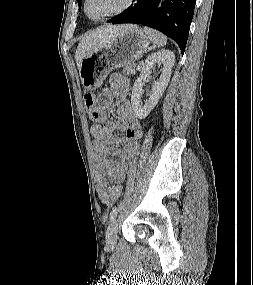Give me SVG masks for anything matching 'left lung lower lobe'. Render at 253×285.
I'll use <instances>...</instances> for the list:
<instances>
[{
    "mask_svg": "<svg viewBox=\"0 0 253 285\" xmlns=\"http://www.w3.org/2000/svg\"><path fill=\"white\" fill-rule=\"evenodd\" d=\"M196 0H137L108 22L143 24L164 33L184 53Z\"/></svg>",
    "mask_w": 253,
    "mask_h": 285,
    "instance_id": "obj_1",
    "label": "left lung lower lobe"
}]
</instances>
